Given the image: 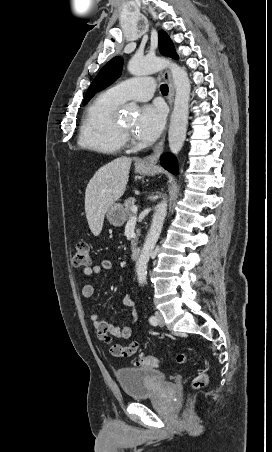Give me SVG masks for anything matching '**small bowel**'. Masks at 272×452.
<instances>
[{"mask_svg": "<svg viewBox=\"0 0 272 452\" xmlns=\"http://www.w3.org/2000/svg\"><path fill=\"white\" fill-rule=\"evenodd\" d=\"M112 267H113V264L110 260L103 259L91 267H86L83 270V274L85 277H92L94 275L100 274L101 272L110 271L112 269ZM81 293H82V296L85 298L93 297L94 293H95L94 285L91 283H88V282L83 284V286L81 288ZM122 303L124 306H126L129 309V312H130L128 323L122 327L115 326L111 322L102 319L100 317V315L97 313H92L90 315V320L93 324V327H94L98 337L107 344H110L113 338L121 339V340H129L132 336V328L138 321V311H137L136 305H135L130 293L127 292L124 294V296L122 298ZM133 342H137V341H133ZM115 346H121V345H118V344L111 345L110 352L114 356H121V355L116 354L113 351V348ZM122 357H124V356H122ZM125 357H129V356H125Z\"/></svg>", "mask_w": 272, "mask_h": 452, "instance_id": "small-bowel-1", "label": "small bowel"}]
</instances>
